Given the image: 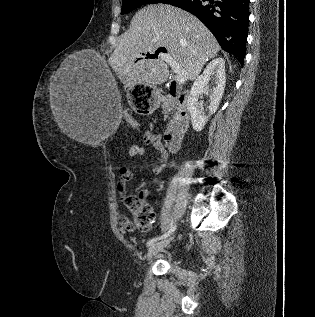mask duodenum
<instances>
[{"label": "duodenum", "mask_w": 315, "mask_h": 317, "mask_svg": "<svg viewBox=\"0 0 315 317\" xmlns=\"http://www.w3.org/2000/svg\"><path fill=\"white\" fill-rule=\"evenodd\" d=\"M166 103L175 109V115L164 134V141L170 152H176L181 146L190 123L187 95L180 91L176 80L170 84Z\"/></svg>", "instance_id": "410a0bca"}]
</instances>
